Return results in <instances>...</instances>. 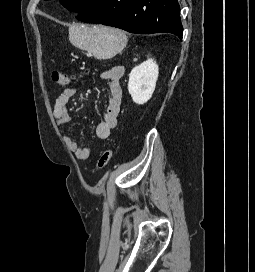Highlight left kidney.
<instances>
[{
  "mask_svg": "<svg viewBox=\"0 0 255 272\" xmlns=\"http://www.w3.org/2000/svg\"><path fill=\"white\" fill-rule=\"evenodd\" d=\"M158 74V65L153 59H148L132 69L129 74L128 91L135 103L144 104L150 100Z\"/></svg>",
  "mask_w": 255,
  "mask_h": 272,
  "instance_id": "left-kidney-1",
  "label": "left kidney"
}]
</instances>
